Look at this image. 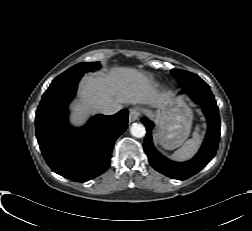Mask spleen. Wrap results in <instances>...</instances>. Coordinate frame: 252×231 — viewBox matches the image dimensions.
I'll list each match as a JSON object with an SVG mask.
<instances>
[{
	"label": "spleen",
	"instance_id": "3e777b00",
	"mask_svg": "<svg viewBox=\"0 0 252 231\" xmlns=\"http://www.w3.org/2000/svg\"><path fill=\"white\" fill-rule=\"evenodd\" d=\"M201 135L199 133V127L193 132V137L185 142V144L175 151L172 158L178 161H184L190 159L198 150L201 144Z\"/></svg>",
	"mask_w": 252,
	"mask_h": 231
}]
</instances>
